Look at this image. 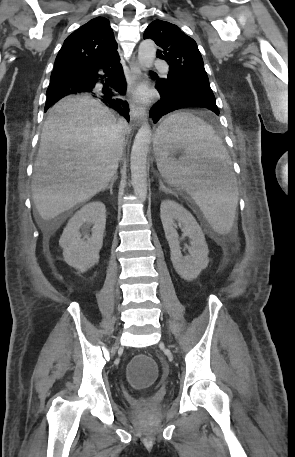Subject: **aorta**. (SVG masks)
<instances>
[{
	"label": "aorta",
	"mask_w": 295,
	"mask_h": 457,
	"mask_svg": "<svg viewBox=\"0 0 295 457\" xmlns=\"http://www.w3.org/2000/svg\"><path fill=\"white\" fill-rule=\"evenodd\" d=\"M156 57L155 43L143 40L138 49V63L143 70H149ZM152 131L149 124H144L138 130L131 150V179L134 192L141 200L147 196V154L151 142Z\"/></svg>",
	"instance_id": "1"
}]
</instances>
